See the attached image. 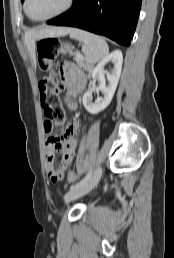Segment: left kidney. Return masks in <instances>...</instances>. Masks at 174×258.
Returning <instances> with one entry per match:
<instances>
[{
	"label": "left kidney",
	"mask_w": 174,
	"mask_h": 258,
	"mask_svg": "<svg viewBox=\"0 0 174 258\" xmlns=\"http://www.w3.org/2000/svg\"><path fill=\"white\" fill-rule=\"evenodd\" d=\"M110 61L113 63L114 68L110 73H107V80L109 83L106 85L104 66ZM122 63V53L121 51L116 50L104 57L93 69L92 78L99 80V87L97 90L101 91L104 97L97 98V100L93 103L90 88L87 92L84 93L83 105L89 113L97 114L110 104L118 85Z\"/></svg>",
	"instance_id": "left-kidney-1"
}]
</instances>
